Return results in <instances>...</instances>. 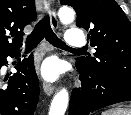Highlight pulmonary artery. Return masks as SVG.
<instances>
[{"label":"pulmonary artery","mask_w":131,"mask_h":115,"mask_svg":"<svg viewBox=\"0 0 131 115\" xmlns=\"http://www.w3.org/2000/svg\"><path fill=\"white\" fill-rule=\"evenodd\" d=\"M85 42V36L79 29L71 28L67 31L65 44L68 47H82Z\"/></svg>","instance_id":"1"}]
</instances>
